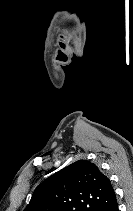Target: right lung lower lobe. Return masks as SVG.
Here are the masks:
<instances>
[{"instance_id":"1","label":"right lung lower lobe","mask_w":133,"mask_h":211,"mask_svg":"<svg viewBox=\"0 0 133 211\" xmlns=\"http://www.w3.org/2000/svg\"><path fill=\"white\" fill-rule=\"evenodd\" d=\"M109 211H118V205L116 204L113 208H111Z\"/></svg>"}]
</instances>
